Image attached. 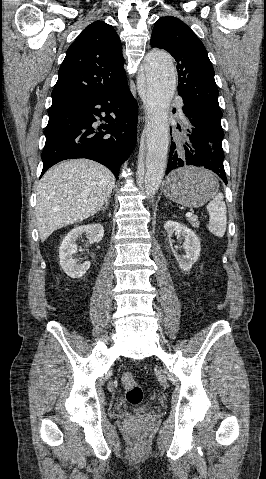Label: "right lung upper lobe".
Here are the masks:
<instances>
[{"mask_svg": "<svg viewBox=\"0 0 266 479\" xmlns=\"http://www.w3.org/2000/svg\"><path fill=\"white\" fill-rule=\"evenodd\" d=\"M122 45L104 21L88 25L70 45L62 62L52 100L119 87L126 80Z\"/></svg>", "mask_w": 266, "mask_h": 479, "instance_id": "cb5924a9", "label": "right lung upper lobe"}]
</instances>
